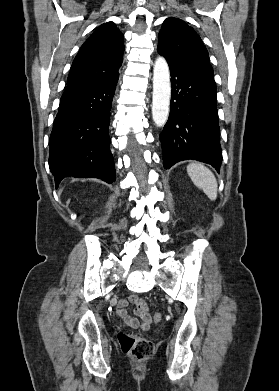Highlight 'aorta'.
<instances>
[{
	"label": "aorta",
	"mask_w": 279,
	"mask_h": 391,
	"mask_svg": "<svg viewBox=\"0 0 279 391\" xmlns=\"http://www.w3.org/2000/svg\"><path fill=\"white\" fill-rule=\"evenodd\" d=\"M171 98L170 72L164 57H157L153 68L152 118L158 127L166 124Z\"/></svg>",
	"instance_id": "obj_1"
}]
</instances>
